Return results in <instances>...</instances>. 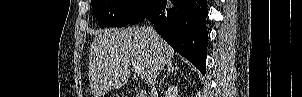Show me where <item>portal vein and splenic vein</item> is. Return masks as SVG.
Returning <instances> with one entry per match:
<instances>
[{
    "instance_id": "portal-vein-and-splenic-vein-1",
    "label": "portal vein and splenic vein",
    "mask_w": 302,
    "mask_h": 97,
    "mask_svg": "<svg viewBox=\"0 0 302 97\" xmlns=\"http://www.w3.org/2000/svg\"><path fill=\"white\" fill-rule=\"evenodd\" d=\"M132 66L138 76H143L144 69L138 62L132 61Z\"/></svg>"
}]
</instances>
